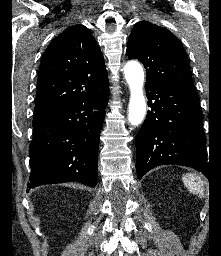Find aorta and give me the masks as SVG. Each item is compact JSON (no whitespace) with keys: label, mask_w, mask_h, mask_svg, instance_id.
Segmentation results:
<instances>
[{"label":"aorta","mask_w":221,"mask_h":256,"mask_svg":"<svg viewBox=\"0 0 221 256\" xmlns=\"http://www.w3.org/2000/svg\"><path fill=\"white\" fill-rule=\"evenodd\" d=\"M124 75L130 89L128 121L131 125L138 126L146 115L144 71L140 63L131 61L124 66Z\"/></svg>","instance_id":"762f6f07"}]
</instances>
